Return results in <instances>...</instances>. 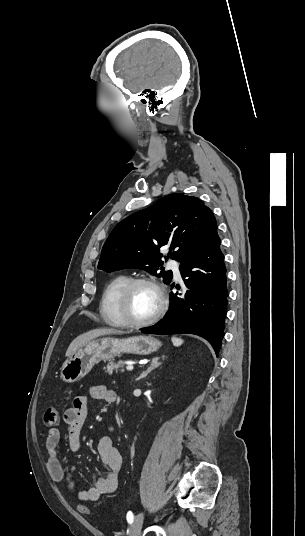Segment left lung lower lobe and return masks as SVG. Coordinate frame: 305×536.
<instances>
[{
	"instance_id": "0a47b994",
	"label": "left lung lower lobe",
	"mask_w": 305,
	"mask_h": 536,
	"mask_svg": "<svg viewBox=\"0 0 305 536\" xmlns=\"http://www.w3.org/2000/svg\"><path fill=\"white\" fill-rule=\"evenodd\" d=\"M220 244L216 228L197 251L182 261L179 270L186 286L184 292H171L167 315L154 326L141 329L143 333L195 334L208 340L218 356L228 302Z\"/></svg>"
}]
</instances>
